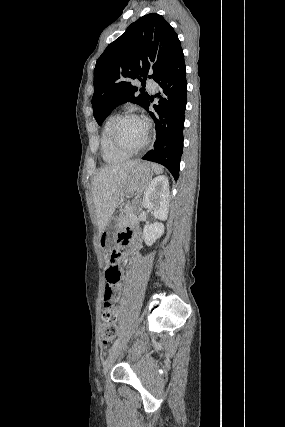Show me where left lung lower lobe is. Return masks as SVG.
Masks as SVG:
<instances>
[{
    "mask_svg": "<svg viewBox=\"0 0 285 427\" xmlns=\"http://www.w3.org/2000/svg\"><path fill=\"white\" fill-rule=\"evenodd\" d=\"M159 105H154L157 116L149 111L156 125L154 147L142 157L164 165L177 180L183 149L184 112L186 109L187 81L183 51L179 52L170 68L156 81ZM149 104L146 107L148 111Z\"/></svg>",
    "mask_w": 285,
    "mask_h": 427,
    "instance_id": "obj_1",
    "label": "left lung lower lobe"
}]
</instances>
